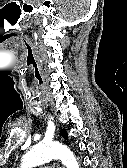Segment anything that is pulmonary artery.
Returning a JSON list of instances; mask_svg holds the SVG:
<instances>
[{
	"label": "pulmonary artery",
	"mask_w": 127,
	"mask_h": 168,
	"mask_svg": "<svg viewBox=\"0 0 127 168\" xmlns=\"http://www.w3.org/2000/svg\"><path fill=\"white\" fill-rule=\"evenodd\" d=\"M38 168H49L48 166H40Z\"/></svg>",
	"instance_id": "pulmonary-artery-1"
}]
</instances>
